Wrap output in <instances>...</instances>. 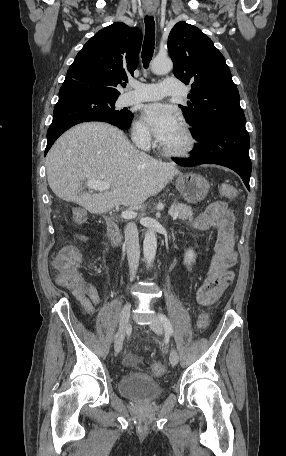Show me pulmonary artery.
<instances>
[{"label": "pulmonary artery", "instance_id": "pulmonary-artery-1", "mask_svg": "<svg viewBox=\"0 0 286 456\" xmlns=\"http://www.w3.org/2000/svg\"><path fill=\"white\" fill-rule=\"evenodd\" d=\"M133 90L125 95L124 104L159 100L166 96L179 95L181 88L176 77H166L160 84H144L134 82Z\"/></svg>", "mask_w": 286, "mask_h": 456}]
</instances>
